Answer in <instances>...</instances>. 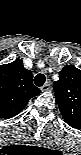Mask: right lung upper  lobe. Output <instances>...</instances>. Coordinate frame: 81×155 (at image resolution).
<instances>
[{
  "mask_svg": "<svg viewBox=\"0 0 81 155\" xmlns=\"http://www.w3.org/2000/svg\"><path fill=\"white\" fill-rule=\"evenodd\" d=\"M32 80V72L24 68L22 60L0 66V117H14L30 98L40 94Z\"/></svg>",
  "mask_w": 81,
  "mask_h": 155,
  "instance_id": "obj_1",
  "label": "right lung upper lobe"
}]
</instances>
